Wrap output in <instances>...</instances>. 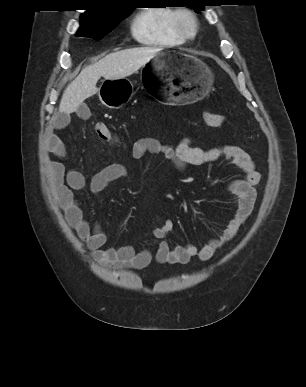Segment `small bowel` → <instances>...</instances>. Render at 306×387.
<instances>
[{
	"label": "small bowel",
	"mask_w": 306,
	"mask_h": 387,
	"mask_svg": "<svg viewBox=\"0 0 306 387\" xmlns=\"http://www.w3.org/2000/svg\"><path fill=\"white\" fill-rule=\"evenodd\" d=\"M69 122L70 114H60L48 128L47 151L56 157H65L66 147L55 132L67 127ZM131 154L134 159L161 154L180 171H185L189 166H201L227 158L244 172V176L228 183V192L237 199L232 216L225 228L203 247L198 248L194 244L171 247L166 238L173 228V221L167 219L152 231L156 241L155 253L150 249L136 250L131 245L104 249L103 246L107 241L105 232L99 224L90 226L75 198V192L83 190L86 186L84 176L77 170H67L59 161L49 160L48 174L60 208L94 259L104 266L140 270L147 267L153 259L161 264H186L195 257L206 261L236 235L253 211L257 196L255 186L259 183L260 174L255 169L251 156L242 147L218 145L203 149L193 146L187 137L181 139L176 146H171L155 138L145 137L134 142ZM127 174L125 165L111 163L92 176L89 190L92 194H98L111 182L124 178Z\"/></svg>",
	"instance_id": "c3829d8e"
}]
</instances>
